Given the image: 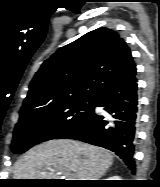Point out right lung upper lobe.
<instances>
[{
    "instance_id": "right-lung-upper-lobe-1",
    "label": "right lung upper lobe",
    "mask_w": 160,
    "mask_h": 187,
    "mask_svg": "<svg viewBox=\"0 0 160 187\" xmlns=\"http://www.w3.org/2000/svg\"><path fill=\"white\" fill-rule=\"evenodd\" d=\"M134 64L126 42L98 28L60 48L35 74L20 112L78 98H95Z\"/></svg>"
}]
</instances>
